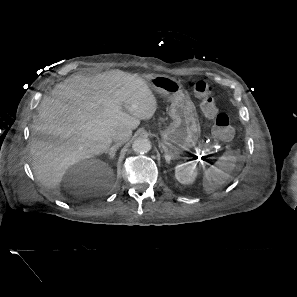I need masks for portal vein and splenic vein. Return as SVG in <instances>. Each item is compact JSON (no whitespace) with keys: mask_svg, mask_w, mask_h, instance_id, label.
Here are the masks:
<instances>
[{"mask_svg":"<svg viewBox=\"0 0 297 297\" xmlns=\"http://www.w3.org/2000/svg\"><path fill=\"white\" fill-rule=\"evenodd\" d=\"M195 150H196V152H198L199 154H200V153H204V151H203V150H201V149H200V148H198V147H197V148H195Z\"/></svg>","mask_w":297,"mask_h":297,"instance_id":"1","label":"portal vein and splenic vein"}]
</instances>
